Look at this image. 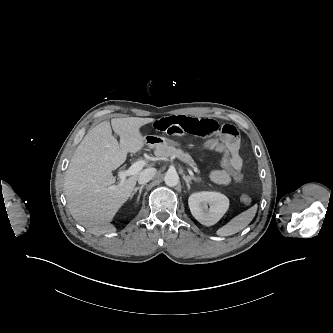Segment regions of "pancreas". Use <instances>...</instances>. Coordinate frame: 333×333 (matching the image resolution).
Returning <instances> with one entry per match:
<instances>
[{
    "label": "pancreas",
    "instance_id": "pancreas-1",
    "mask_svg": "<svg viewBox=\"0 0 333 333\" xmlns=\"http://www.w3.org/2000/svg\"><path fill=\"white\" fill-rule=\"evenodd\" d=\"M155 155L159 158L175 155L178 159H180L184 163L192 167L196 166L194 160L188 153L183 152L181 149L175 148L173 145H163L157 147L155 150Z\"/></svg>",
    "mask_w": 333,
    "mask_h": 333
}]
</instances>
